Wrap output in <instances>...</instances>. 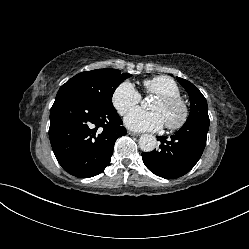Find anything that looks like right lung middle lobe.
<instances>
[{
	"mask_svg": "<svg viewBox=\"0 0 249 249\" xmlns=\"http://www.w3.org/2000/svg\"><path fill=\"white\" fill-rule=\"evenodd\" d=\"M131 74L115 69H97L81 72L63 84L58 93L78 95L96 106L113 109L112 95L115 89Z\"/></svg>",
	"mask_w": 249,
	"mask_h": 249,
	"instance_id": "1",
	"label": "right lung middle lobe"
}]
</instances>
